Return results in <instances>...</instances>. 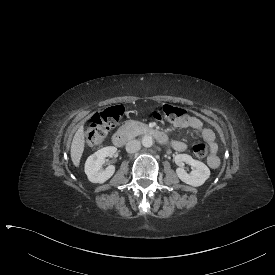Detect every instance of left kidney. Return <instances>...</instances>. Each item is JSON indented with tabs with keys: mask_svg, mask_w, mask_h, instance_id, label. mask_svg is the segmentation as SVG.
<instances>
[{
	"mask_svg": "<svg viewBox=\"0 0 275 275\" xmlns=\"http://www.w3.org/2000/svg\"><path fill=\"white\" fill-rule=\"evenodd\" d=\"M175 162L182 166L185 163L196 168L188 174L183 168H177L176 174L179 179L192 187H199L205 183L210 176L209 168L201 161L193 159L187 154H178L175 156Z\"/></svg>",
	"mask_w": 275,
	"mask_h": 275,
	"instance_id": "obj_1",
	"label": "left kidney"
}]
</instances>
